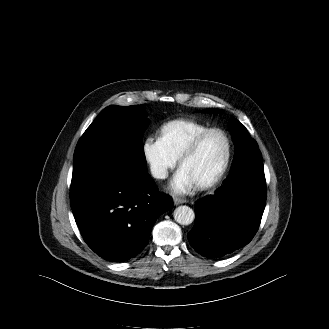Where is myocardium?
I'll use <instances>...</instances> for the list:
<instances>
[{
	"instance_id": "f54148a6",
	"label": "myocardium",
	"mask_w": 329,
	"mask_h": 329,
	"mask_svg": "<svg viewBox=\"0 0 329 329\" xmlns=\"http://www.w3.org/2000/svg\"><path fill=\"white\" fill-rule=\"evenodd\" d=\"M212 133H219L224 137V139L226 141L225 158L223 160L221 167L219 168V170L216 172V174L213 177H211L210 179L197 185L198 188H200V189H207V188H210V187L216 185L227 172L230 162H231L232 152H233L232 141H231L230 136L227 134L226 131H224L220 128H209V129L201 132L200 134H198L196 137H194L193 140L188 144V146L183 150L180 157L178 158V164H179V167H181L182 164L184 163V161H186L188 158H190L191 156H193L196 153V151L199 148L203 139Z\"/></svg>"
}]
</instances>
